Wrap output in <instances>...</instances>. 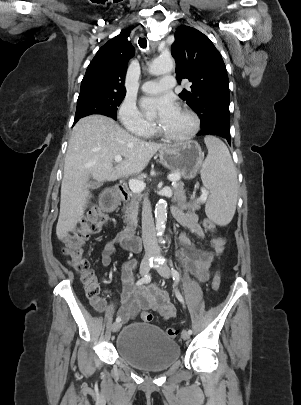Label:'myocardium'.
I'll use <instances>...</instances> for the list:
<instances>
[{
	"label": "myocardium",
	"mask_w": 301,
	"mask_h": 405,
	"mask_svg": "<svg viewBox=\"0 0 301 405\" xmlns=\"http://www.w3.org/2000/svg\"><path fill=\"white\" fill-rule=\"evenodd\" d=\"M180 111H182L184 114H186L191 119V121H192L191 129L183 135H173V134H170V133L166 132L165 130H163L160 125H157L156 132L160 136H162L163 138H165L169 141L182 142V141H187V140L192 139L197 134V132L200 129V119H199L198 115L193 110L186 108V107L181 108Z\"/></svg>",
	"instance_id": "obj_1"
}]
</instances>
